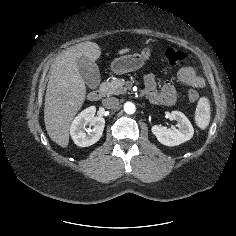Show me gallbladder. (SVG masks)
I'll list each match as a JSON object with an SVG mask.
<instances>
[{
	"mask_svg": "<svg viewBox=\"0 0 236 236\" xmlns=\"http://www.w3.org/2000/svg\"><path fill=\"white\" fill-rule=\"evenodd\" d=\"M77 67L86 85L91 89H96L101 80L97 64L87 57H80L77 60Z\"/></svg>",
	"mask_w": 236,
	"mask_h": 236,
	"instance_id": "1",
	"label": "gallbladder"
}]
</instances>
